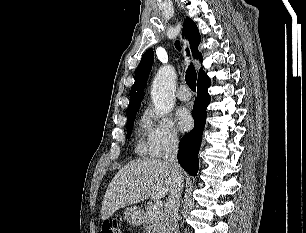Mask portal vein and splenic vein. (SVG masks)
Here are the masks:
<instances>
[{"mask_svg": "<svg viewBox=\"0 0 306 233\" xmlns=\"http://www.w3.org/2000/svg\"><path fill=\"white\" fill-rule=\"evenodd\" d=\"M163 208V202L162 200H156L153 204L154 210H161Z\"/></svg>", "mask_w": 306, "mask_h": 233, "instance_id": "portal-vein-and-splenic-vein-1", "label": "portal vein and splenic vein"}]
</instances>
